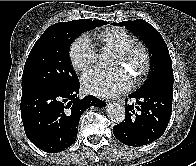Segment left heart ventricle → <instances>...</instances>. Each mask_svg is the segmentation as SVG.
Returning a JSON list of instances; mask_svg holds the SVG:
<instances>
[{"label":"left heart ventricle","instance_id":"obj_1","mask_svg":"<svg viewBox=\"0 0 196 166\" xmlns=\"http://www.w3.org/2000/svg\"><path fill=\"white\" fill-rule=\"evenodd\" d=\"M122 66H124V63L119 58V56H117L116 62H115V67H122ZM130 67H131V70L135 71V68L133 66H130Z\"/></svg>","mask_w":196,"mask_h":166}]
</instances>
